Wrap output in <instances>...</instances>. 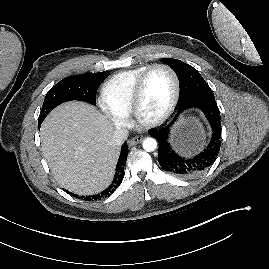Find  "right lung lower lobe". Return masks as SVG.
<instances>
[{
  "mask_svg": "<svg viewBox=\"0 0 269 269\" xmlns=\"http://www.w3.org/2000/svg\"><path fill=\"white\" fill-rule=\"evenodd\" d=\"M127 155H128V147H127V144L124 143L121 148V153L117 162L116 172H115L112 184L107 189L102 191L100 194L81 196L79 198H82V200L83 199L84 200H98L104 197H108L118 186H120L122 182V179L124 177V165L126 164ZM69 194L73 195L74 197L77 196L76 194H72L71 192H69Z\"/></svg>",
  "mask_w": 269,
  "mask_h": 269,
  "instance_id": "98d812e1",
  "label": "right lung lower lobe"
}]
</instances>
